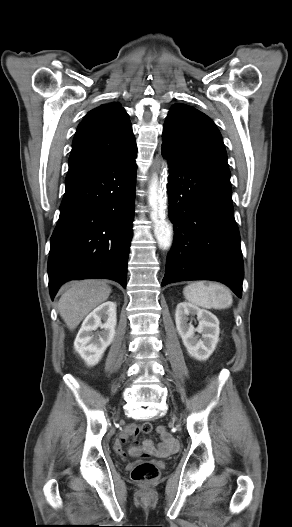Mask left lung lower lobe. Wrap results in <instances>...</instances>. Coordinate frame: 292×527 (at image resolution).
I'll list each match as a JSON object with an SVG mask.
<instances>
[{"mask_svg": "<svg viewBox=\"0 0 292 527\" xmlns=\"http://www.w3.org/2000/svg\"><path fill=\"white\" fill-rule=\"evenodd\" d=\"M162 155L169 161V217L175 232L162 286L215 280L241 297L244 271L230 171L183 159L165 148Z\"/></svg>", "mask_w": 292, "mask_h": 527, "instance_id": "0a47b994", "label": "left lung lower lobe"}]
</instances>
